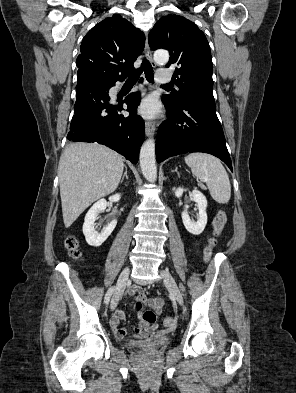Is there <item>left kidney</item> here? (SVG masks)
<instances>
[{"instance_id": "1", "label": "left kidney", "mask_w": 296, "mask_h": 393, "mask_svg": "<svg viewBox=\"0 0 296 393\" xmlns=\"http://www.w3.org/2000/svg\"><path fill=\"white\" fill-rule=\"evenodd\" d=\"M183 191H184L183 188L176 189L175 196L177 198L182 197ZM192 197L198 206V210H199L198 220L196 222L192 221L189 215L187 214V212L185 211L182 212V220L185 228L189 233L193 235H199L203 232L207 224V213H206L207 199L202 192L196 189L192 191Z\"/></svg>"}]
</instances>
